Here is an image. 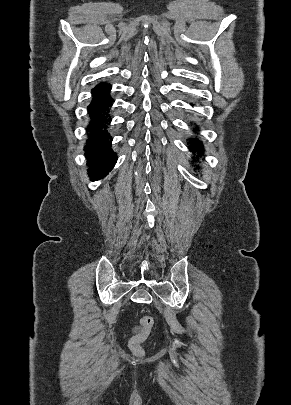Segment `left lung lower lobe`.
<instances>
[{"label":"left lung lower lobe","instance_id":"obj_1","mask_svg":"<svg viewBox=\"0 0 291 405\" xmlns=\"http://www.w3.org/2000/svg\"><path fill=\"white\" fill-rule=\"evenodd\" d=\"M189 143H191V141ZM192 144L193 145L190 146L191 150H194V151L196 150L197 153H203V147L200 143L197 142V140H192Z\"/></svg>","mask_w":291,"mask_h":405}]
</instances>
